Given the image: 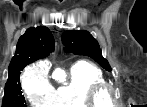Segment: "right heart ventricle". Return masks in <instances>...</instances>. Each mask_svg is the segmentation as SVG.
<instances>
[{
	"label": "right heart ventricle",
	"instance_id": "1",
	"mask_svg": "<svg viewBox=\"0 0 147 107\" xmlns=\"http://www.w3.org/2000/svg\"><path fill=\"white\" fill-rule=\"evenodd\" d=\"M105 83L102 71L87 61H78L72 65L69 80L53 91L51 107H92L88 96L90 90Z\"/></svg>",
	"mask_w": 147,
	"mask_h": 107
}]
</instances>
